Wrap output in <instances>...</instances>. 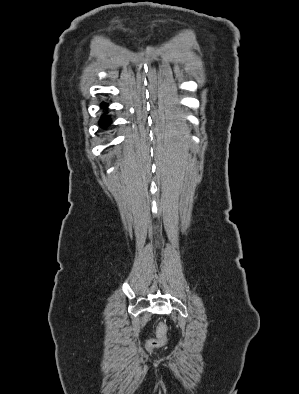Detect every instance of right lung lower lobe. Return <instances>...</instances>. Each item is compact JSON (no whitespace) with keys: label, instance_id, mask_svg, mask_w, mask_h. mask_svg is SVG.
<instances>
[{"label":"right lung lower lobe","instance_id":"98d812e1","mask_svg":"<svg viewBox=\"0 0 299 394\" xmlns=\"http://www.w3.org/2000/svg\"><path fill=\"white\" fill-rule=\"evenodd\" d=\"M102 107H107V104L106 103H102ZM100 125L102 126V127H105V126H107V125H109L110 123H111V120H110V118L108 117V116H106V115H103L101 118H100Z\"/></svg>","mask_w":299,"mask_h":394}]
</instances>
